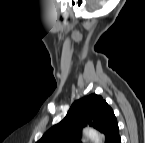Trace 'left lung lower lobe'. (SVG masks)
<instances>
[{
	"mask_svg": "<svg viewBox=\"0 0 145 143\" xmlns=\"http://www.w3.org/2000/svg\"><path fill=\"white\" fill-rule=\"evenodd\" d=\"M112 143H121L120 136H118Z\"/></svg>",
	"mask_w": 145,
	"mask_h": 143,
	"instance_id": "left-lung-lower-lobe-1",
	"label": "left lung lower lobe"
}]
</instances>
